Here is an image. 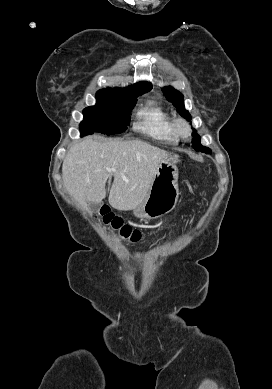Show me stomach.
Masks as SVG:
<instances>
[{"label": "stomach", "instance_id": "1", "mask_svg": "<svg viewBox=\"0 0 272 389\" xmlns=\"http://www.w3.org/2000/svg\"><path fill=\"white\" fill-rule=\"evenodd\" d=\"M177 157L168 156L158 165L145 200L133 213L137 218L156 219L172 211L178 201Z\"/></svg>", "mask_w": 272, "mask_h": 389}]
</instances>
